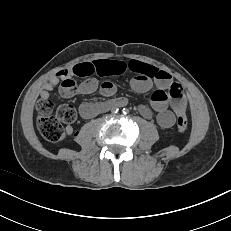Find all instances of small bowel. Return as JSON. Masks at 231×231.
<instances>
[{"mask_svg":"<svg viewBox=\"0 0 231 231\" xmlns=\"http://www.w3.org/2000/svg\"><path fill=\"white\" fill-rule=\"evenodd\" d=\"M126 71L133 73L130 84L136 92H148L155 86L150 100L151 108L140 106L142 115L150 119L155 112L158 125L165 129L171 128L176 121V116L185 113L186 110L183 89L166 71L137 60L127 63L119 60H94L63 69L44 83L38 103L49 98L50 92L60 80L72 75L85 78L78 88L80 94H91L99 88L104 96H111L116 92L114 84L104 81L99 85L95 77L120 75ZM113 101L116 105H123L126 102L124 98ZM107 108L104 102H84L79 107V113L82 118L90 119ZM66 132L71 133L72 128L68 126Z\"/></svg>","mask_w":231,"mask_h":231,"instance_id":"small-bowel-1","label":"small bowel"}]
</instances>
